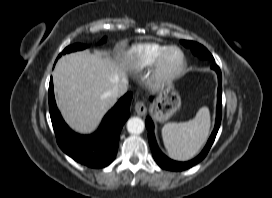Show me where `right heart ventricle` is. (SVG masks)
Listing matches in <instances>:
<instances>
[{
  "instance_id": "right-heart-ventricle-1",
  "label": "right heart ventricle",
  "mask_w": 272,
  "mask_h": 198,
  "mask_svg": "<svg viewBox=\"0 0 272 198\" xmlns=\"http://www.w3.org/2000/svg\"><path fill=\"white\" fill-rule=\"evenodd\" d=\"M169 47V45L157 42L136 45L130 50L129 66L137 71L149 69Z\"/></svg>"
}]
</instances>
